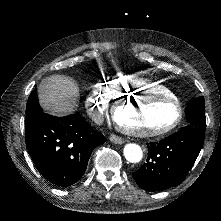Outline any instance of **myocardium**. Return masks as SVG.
<instances>
[{
    "label": "myocardium",
    "instance_id": "1",
    "mask_svg": "<svg viewBox=\"0 0 221 221\" xmlns=\"http://www.w3.org/2000/svg\"><path fill=\"white\" fill-rule=\"evenodd\" d=\"M148 102H155V103H169L173 106V115L172 118L169 119L168 123L161 127L146 129L143 127V129L136 130V129H129L124 126L123 122L121 121L119 114L122 109V107H129V108H140L142 107L143 103ZM183 107L181 104H179L178 99L175 98V96H170L168 94H161L159 92L154 93L153 95L150 93L142 92L136 99H125L122 98L120 101H117L112 104L109 113L107 121L109 124L112 125L113 128H116L119 135L122 137H133L136 139H143L147 136L148 139H155L160 137L165 132L170 131L171 127H176L179 125L181 116L183 114Z\"/></svg>",
    "mask_w": 221,
    "mask_h": 221
}]
</instances>
